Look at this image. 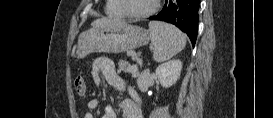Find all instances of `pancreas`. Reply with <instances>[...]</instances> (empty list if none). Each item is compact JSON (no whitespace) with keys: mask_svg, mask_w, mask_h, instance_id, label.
Returning a JSON list of instances; mask_svg holds the SVG:
<instances>
[{"mask_svg":"<svg viewBox=\"0 0 273 118\" xmlns=\"http://www.w3.org/2000/svg\"><path fill=\"white\" fill-rule=\"evenodd\" d=\"M119 65V69L126 72V73H132V74H136L137 71V67L136 66H131L127 61L125 60H120L118 62Z\"/></svg>","mask_w":273,"mask_h":118,"instance_id":"1","label":"pancreas"}]
</instances>
